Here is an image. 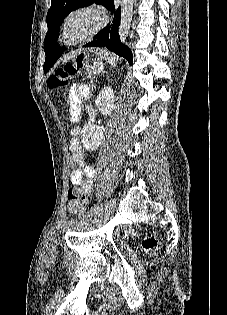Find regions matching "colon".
Masks as SVG:
<instances>
[{"label":"colon","mask_w":227,"mask_h":315,"mask_svg":"<svg viewBox=\"0 0 227 315\" xmlns=\"http://www.w3.org/2000/svg\"><path fill=\"white\" fill-rule=\"evenodd\" d=\"M85 59L82 56L76 57L71 63L57 69L47 80L48 87L55 91H64L69 81L84 66ZM88 199L78 185H71L67 192L68 209L75 215L84 213ZM159 242L152 237L142 241V247L146 252L152 253L158 248Z\"/></svg>","instance_id":"1"}]
</instances>
